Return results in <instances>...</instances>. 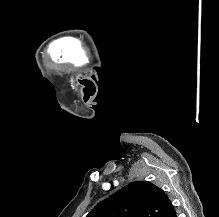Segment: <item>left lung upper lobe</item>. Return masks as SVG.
<instances>
[{
    "label": "left lung upper lobe",
    "mask_w": 219,
    "mask_h": 217,
    "mask_svg": "<svg viewBox=\"0 0 219 217\" xmlns=\"http://www.w3.org/2000/svg\"><path fill=\"white\" fill-rule=\"evenodd\" d=\"M87 217H177L162 189L147 181L133 182L96 205Z\"/></svg>",
    "instance_id": "left-lung-upper-lobe-1"
}]
</instances>
